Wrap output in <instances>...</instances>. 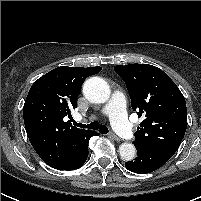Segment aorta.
Instances as JSON below:
<instances>
[{
	"mask_svg": "<svg viewBox=\"0 0 201 201\" xmlns=\"http://www.w3.org/2000/svg\"><path fill=\"white\" fill-rule=\"evenodd\" d=\"M83 94L92 103H105L110 97V88L104 79L91 77L83 85ZM119 154L123 160L131 161L136 156V148L132 143H122Z\"/></svg>",
	"mask_w": 201,
	"mask_h": 201,
	"instance_id": "762f6f07",
	"label": "aorta"
}]
</instances>
